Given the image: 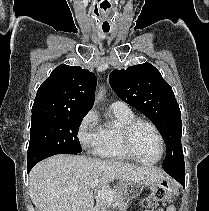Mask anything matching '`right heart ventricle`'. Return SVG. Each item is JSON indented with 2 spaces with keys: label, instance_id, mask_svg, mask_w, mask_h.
<instances>
[{
  "label": "right heart ventricle",
  "instance_id": "right-heart-ventricle-1",
  "mask_svg": "<svg viewBox=\"0 0 209 211\" xmlns=\"http://www.w3.org/2000/svg\"><path fill=\"white\" fill-rule=\"evenodd\" d=\"M134 119L135 116L131 110L123 112L112 110V120L100 126L101 136L94 153L98 157L109 161H130V157L122 147V131L125 125Z\"/></svg>",
  "mask_w": 209,
  "mask_h": 211
}]
</instances>
